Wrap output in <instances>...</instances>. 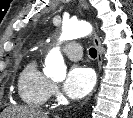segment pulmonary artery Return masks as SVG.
Wrapping results in <instances>:
<instances>
[{"label":"pulmonary artery","mask_w":133,"mask_h":118,"mask_svg":"<svg viewBox=\"0 0 133 118\" xmlns=\"http://www.w3.org/2000/svg\"><path fill=\"white\" fill-rule=\"evenodd\" d=\"M63 51L65 55L72 61H78L82 58V45L79 42H69L67 43Z\"/></svg>","instance_id":"obj_1"}]
</instances>
